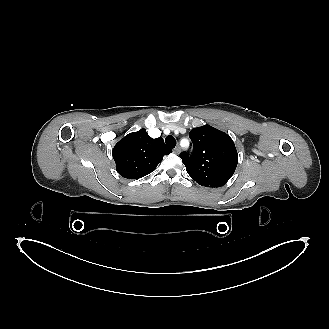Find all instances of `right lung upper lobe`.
<instances>
[{"label": "right lung upper lobe", "mask_w": 329, "mask_h": 329, "mask_svg": "<svg viewBox=\"0 0 329 329\" xmlns=\"http://www.w3.org/2000/svg\"><path fill=\"white\" fill-rule=\"evenodd\" d=\"M171 153L161 137L151 138L145 129L130 133L113 149L118 173L129 179L141 178L155 170L164 155Z\"/></svg>", "instance_id": "1"}]
</instances>
